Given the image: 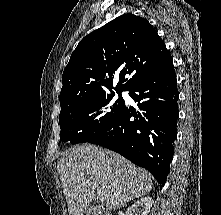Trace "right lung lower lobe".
Segmentation results:
<instances>
[{
    "label": "right lung lower lobe",
    "instance_id": "98d812e1",
    "mask_svg": "<svg viewBox=\"0 0 221 215\" xmlns=\"http://www.w3.org/2000/svg\"><path fill=\"white\" fill-rule=\"evenodd\" d=\"M129 95L141 111L124 106L112 127L88 142L113 150L149 170L162 188L173 156L179 114L172 58L133 84Z\"/></svg>",
    "mask_w": 221,
    "mask_h": 215
}]
</instances>
